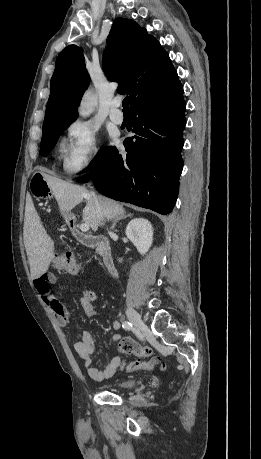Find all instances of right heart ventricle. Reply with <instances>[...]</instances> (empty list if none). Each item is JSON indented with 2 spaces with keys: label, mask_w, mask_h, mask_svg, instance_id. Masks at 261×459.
<instances>
[{
  "label": "right heart ventricle",
  "mask_w": 261,
  "mask_h": 459,
  "mask_svg": "<svg viewBox=\"0 0 261 459\" xmlns=\"http://www.w3.org/2000/svg\"><path fill=\"white\" fill-rule=\"evenodd\" d=\"M60 150H61V151H64V150H65L64 144H62V145L60 146Z\"/></svg>",
  "instance_id": "right-heart-ventricle-1"
}]
</instances>
